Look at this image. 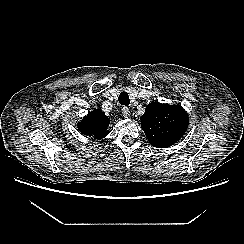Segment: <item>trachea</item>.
I'll use <instances>...</instances> for the list:
<instances>
[{
  "label": "trachea",
  "mask_w": 244,
  "mask_h": 244,
  "mask_svg": "<svg viewBox=\"0 0 244 244\" xmlns=\"http://www.w3.org/2000/svg\"><path fill=\"white\" fill-rule=\"evenodd\" d=\"M118 100L121 105L128 106L130 104V99L127 92H121Z\"/></svg>",
  "instance_id": "1"
}]
</instances>
